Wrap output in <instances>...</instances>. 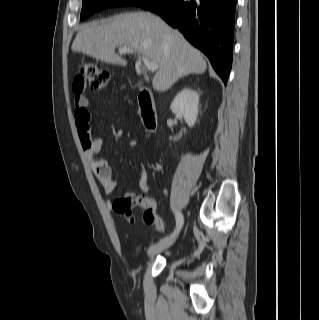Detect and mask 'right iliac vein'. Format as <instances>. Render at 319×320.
Returning <instances> with one entry per match:
<instances>
[{
  "label": "right iliac vein",
  "instance_id": "1",
  "mask_svg": "<svg viewBox=\"0 0 319 320\" xmlns=\"http://www.w3.org/2000/svg\"><path fill=\"white\" fill-rule=\"evenodd\" d=\"M174 241H175V237L171 238V239H167L162 242H159L157 244H154L149 248L148 254L150 256L156 255V254L166 250L167 248H169L173 244Z\"/></svg>",
  "mask_w": 319,
  "mask_h": 320
}]
</instances>
